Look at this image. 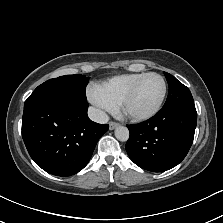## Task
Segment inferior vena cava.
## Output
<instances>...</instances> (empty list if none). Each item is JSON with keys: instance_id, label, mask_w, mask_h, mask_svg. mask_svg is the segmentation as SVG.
Wrapping results in <instances>:
<instances>
[{"instance_id": "inferior-vena-cava-1", "label": "inferior vena cava", "mask_w": 223, "mask_h": 223, "mask_svg": "<svg viewBox=\"0 0 223 223\" xmlns=\"http://www.w3.org/2000/svg\"><path fill=\"white\" fill-rule=\"evenodd\" d=\"M88 116L92 121L101 124L107 123L109 121L108 115L104 111L95 107L88 108Z\"/></svg>"}]
</instances>
